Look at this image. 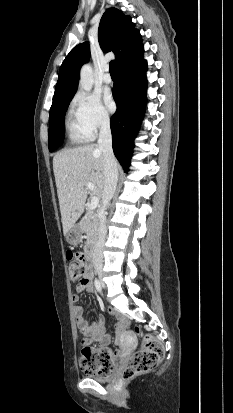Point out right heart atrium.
Segmentation results:
<instances>
[{
	"label": "right heart atrium",
	"mask_w": 233,
	"mask_h": 413,
	"mask_svg": "<svg viewBox=\"0 0 233 413\" xmlns=\"http://www.w3.org/2000/svg\"><path fill=\"white\" fill-rule=\"evenodd\" d=\"M80 121L90 138L110 125V116L95 94L78 92L74 98Z\"/></svg>",
	"instance_id": "1"
}]
</instances>
